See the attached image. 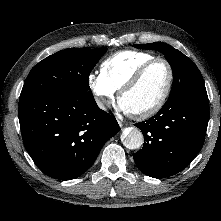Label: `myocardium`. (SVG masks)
Returning <instances> with one entry per match:
<instances>
[{
    "mask_svg": "<svg viewBox=\"0 0 221 221\" xmlns=\"http://www.w3.org/2000/svg\"><path fill=\"white\" fill-rule=\"evenodd\" d=\"M156 63H163L168 69V82L166 88L160 99L154 105L142 111L132 112L131 114L136 118L145 119L151 117L156 113H158L166 104L171 94L174 82V70L172 65L169 63V61H167L164 58L155 57L142 64L119 89L118 101L120 102L123 95L126 94L128 91H130L132 88H134L137 85V83L140 81V79L143 77V75L146 73V71Z\"/></svg>",
    "mask_w": 221,
    "mask_h": 221,
    "instance_id": "1",
    "label": "myocardium"
}]
</instances>
